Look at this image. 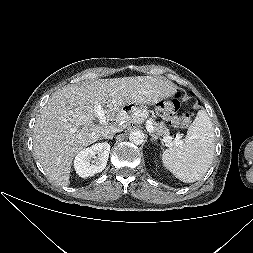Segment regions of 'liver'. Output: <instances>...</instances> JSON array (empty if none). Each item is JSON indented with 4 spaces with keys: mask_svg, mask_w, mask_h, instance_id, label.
Segmentation results:
<instances>
[{
    "mask_svg": "<svg viewBox=\"0 0 253 253\" xmlns=\"http://www.w3.org/2000/svg\"><path fill=\"white\" fill-rule=\"evenodd\" d=\"M176 91L171 81L152 76L101 79L65 86L52 94L36 118L35 157L51 181L68 186L72 161L80 151L106 131L115 128L122 131L127 122L142 123L148 115L143 105L158 103ZM96 104L105 107V124L94 123ZM127 104H137L141 108L127 112L123 109Z\"/></svg>",
    "mask_w": 253,
    "mask_h": 253,
    "instance_id": "1",
    "label": "liver"
}]
</instances>
